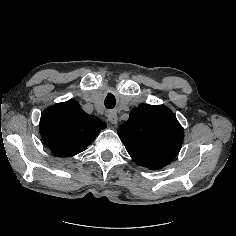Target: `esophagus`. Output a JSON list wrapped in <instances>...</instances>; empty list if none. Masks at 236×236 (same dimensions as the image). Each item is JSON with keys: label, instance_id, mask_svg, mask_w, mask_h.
<instances>
[{"label": "esophagus", "instance_id": "obj_1", "mask_svg": "<svg viewBox=\"0 0 236 236\" xmlns=\"http://www.w3.org/2000/svg\"><path fill=\"white\" fill-rule=\"evenodd\" d=\"M108 120L110 121V123H112L113 125H117L118 122V117H117V113L115 111H111L108 113Z\"/></svg>", "mask_w": 236, "mask_h": 236}]
</instances>
